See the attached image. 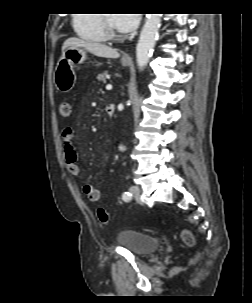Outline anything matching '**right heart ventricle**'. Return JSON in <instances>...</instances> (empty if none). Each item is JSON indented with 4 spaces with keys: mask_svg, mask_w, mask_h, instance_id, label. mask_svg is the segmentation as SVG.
Listing matches in <instances>:
<instances>
[{
    "mask_svg": "<svg viewBox=\"0 0 252 303\" xmlns=\"http://www.w3.org/2000/svg\"><path fill=\"white\" fill-rule=\"evenodd\" d=\"M73 25L76 32L83 38L92 41L105 39L101 14H78L73 19Z\"/></svg>",
    "mask_w": 252,
    "mask_h": 303,
    "instance_id": "obj_1",
    "label": "right heart ventricle"
}]
</instances>
